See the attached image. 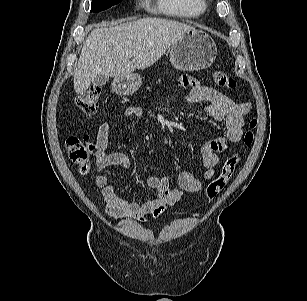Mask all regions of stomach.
<instances>
[{"label":"stomach","mask_w":307,"mask_h":301,"mask_svg":"<svg viewBox=\"0 0 307 301\" xmlns=\"http://www.w3.org/2000/svg\"><path fill=\"white\" fill-rule=\"evenodd\" d=\"M170 62L182 71H199L212 65L217 47L212 38L202 30L192 29L183 33L171 46ZM142 79L137 73L115 77L112 89L118 95H129L139 89Z\"/></svg>","instance_id":"0dacf381"}]
</instances>
